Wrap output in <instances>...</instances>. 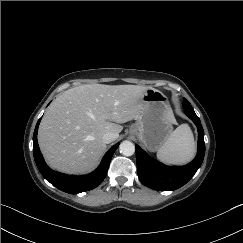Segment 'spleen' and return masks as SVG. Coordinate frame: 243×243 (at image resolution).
Here are the masks:
<instances>
[{"instance_id":"1","label":"spleen","mask_w":243,"mask_h":243,"mask_svg":"<svg viewBox=\"0 0 243 243\" xmlns=\"http://www.w3.org/2000/svg\"><path fill=\"white\" fill-rule=\"evenodd\" d=\"M196 146L190 127L182 124L167 138L158 149L157 158L168 164H184L195 154Z\"/></svg>"}]
</instances>
